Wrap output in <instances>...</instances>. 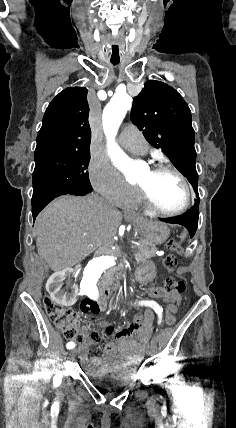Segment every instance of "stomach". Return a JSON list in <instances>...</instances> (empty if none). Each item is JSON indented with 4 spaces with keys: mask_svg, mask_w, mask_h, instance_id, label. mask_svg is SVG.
<instances>
[{
    "mask_svg": "<svg viewBox=\"0 0 236 428\" xmlns=\"http://www.w3.org/2000/svg\"><path fill=\"white\" fill-rule=\"evenodd\" d=\"M141 228L144 240H146L148 244H152V246L164 244L167 238H169L170 230L167 224L159 222V220L143 222ZM156 269V262H140L138 270L134 271L135 282L141 283L142 286H147L148 283H152Z\"/></svg>",
    "mask_w": 236,
    "mask_h": 428,
    "instance_id": "obj_1",
    "label": "stomach"
}]
</instances>
